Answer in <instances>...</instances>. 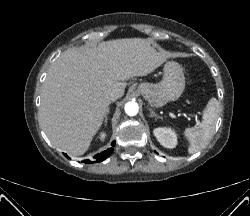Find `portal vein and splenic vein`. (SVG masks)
Masks as SVG:
<instances>
[{
  "mask_svg": "<svg viewBox=\"0 0 250 216\" xmlns=\"http://www.w3.org/2000/svg\"><path fill=\"white\" fill-rule=\"evenodd\" d=\"M171 116H172V117H174V115H173V114H172ZM192 117H195V119H196V121H197V118H198V116H197V115H195V116H193V115H192Z\"/></svg>",
  "mask_w": 250,
  "mask_h": 216,
  "instance_id": "portal-vein-and-splenic-vein-1",
  "label": "portal vein and splenic vein"
}]
</instances>
